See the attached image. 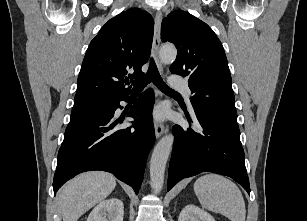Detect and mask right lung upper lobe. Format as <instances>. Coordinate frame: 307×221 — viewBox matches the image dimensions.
I'll use <instances>...</instances> for the list:
<instances>
[{
    "mask_svg": "<svg viewBox=\"0 0 307 221\" xmlns=\"http://www.w3.org/2000/svg\"><path fill=\"white\" fill-rule=\"evenodd\" d=\"M154 31L152 16L141 9H129L110 19L91 41L78 77L75 105L115 102L130 88L125 77L140 78L148 61Z\"/></svg>",
    "mask_w": 307,
    "mask_h": 221,
    "instance_id": "obj_1",
    "label": "right lung upper lobe"
}]
</instances>
